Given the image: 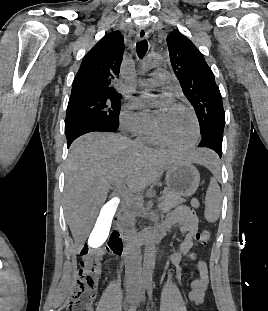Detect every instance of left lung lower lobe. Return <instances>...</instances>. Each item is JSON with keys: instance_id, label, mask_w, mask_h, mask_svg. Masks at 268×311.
<instances>
[{"instance_id": "obj_1", "label": "left lung lower lobe", "mask_w": 268, "mask_h": 311, "mask_svg": "<svg viewBox=\"0 0 268 311\" xmlns=\"http://www.w3.org/2000/svg\"><path fill=\"white\" fill-rule=\"evenodd\" d=\"M222 141H223V135H219V134L207 135L202 138L199 146L214 150L221 158Z\"/></svg>"}]
</instances>
